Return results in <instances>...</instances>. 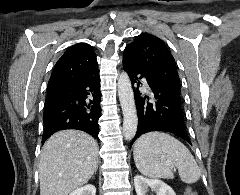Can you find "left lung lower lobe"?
<instances>
[{
  "mask_svg": "<svg viewBox=\"0 0 240 195\" xmlns=\"http://www.w3.org/2000/svg\"><path fill=\"white\" fill-rule=\"evenodd\" d=\"M123 67L130 77L137 106L138 128L131 145L139 136L151 131L170 132L191 143L184 125L180 94L155 81L124 58ZM141 78L146 79L154 95L150 102L148 96L142 97L139 92Z\"/></svg>",
  "mask_w": 240,
  "mask_h": 195,
  "instance_id": "0a47b994",
  "label": "left lung lower lobe"
}]
</instances>
